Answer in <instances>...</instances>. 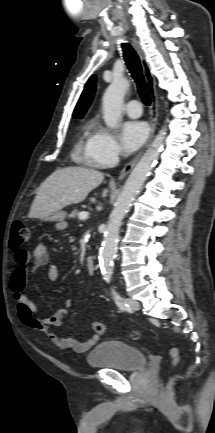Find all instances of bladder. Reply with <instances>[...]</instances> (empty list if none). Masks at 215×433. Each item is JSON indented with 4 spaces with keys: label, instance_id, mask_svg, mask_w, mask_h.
<instances>
[{
    "label": "bladder",
    "instance_id": "31cf9c89",
    "mask_svg": "<svg viewBox=\"0 0 215 433\" xmlns=\"http://www.w3.org/2000/svg\"><path fill=\"white\" fill-rule=\"evenodd\" d=\"M91 367L134 372L147 364L146 355L137 347L117 340L98 344L88 355Z\"/></svg>",
    "mask_w": 215,
    "mask_h": 433
}]
</instances>
